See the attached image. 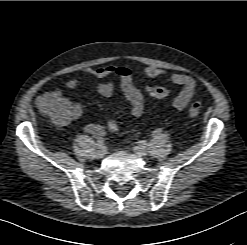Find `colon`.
Returning a JSON list of instances; mask_svg holds the SVG:
<instances>
[{"label": "colon", "mask_w": 247, "mask_h": 245, "mask_svg": "<svg viewBox=\"0 0 247 245\" xmlns=\"http://www.w3.org/2000/svg\"><path fill=\"white\" fill-rule=\"evenodd\" d=\"M146 91L153 99H163L169 94L166 88L160 86L149 85L146 87ZM39 108L45 116L58 125L66 124L70 118L71 109L68 100L56 94H49L44 97L39 104ZM200 109V102L195 100L190 107L191 118H197L200 114ZM108 127L111 131L117 132L119 128L117 120L110 118Z\"/></svg>", "instance_id": "colon-1"}]
</instances>
